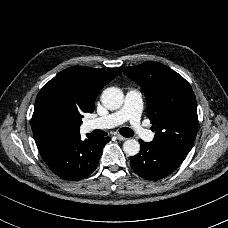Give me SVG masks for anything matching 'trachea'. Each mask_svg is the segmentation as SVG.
<instances>
[{"mask_svg":"<svg viewBox=\"0 0 228 228\" xmlns=\"http://www.w3.org/2000/svg\"><path fill=\"white\" fill-rule=\"evenodd\" d=\"M120 134L124 137H133L135 135V132L128 127H122L120 129Z\"/></svg>","mask_w":228,"mask_h":228,"instance_id":"3493384b","label":"trachea"}]
</instances>
